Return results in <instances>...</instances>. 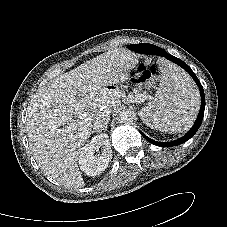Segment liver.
Instances as JSON below:
<instances>
[{"label":"liver","instance_id":"1","mask_svg":"<svg viewBox=\"0 0 227 227\" xmlns=\"http://www.w3.org/2000/svg\"><path fill=\"white\" fill-rule=\"evenodd\" d=\"M136 63L126 49L107 51L35 93L28 107L27 137L34 159L47 176L67 188L85 186L78 167L80 152L96 118L109 116L119 104L106 87L124 81ZM77 107L86 112L85 117H79Z\"/></svg>","mask_w":227,"mask_h":227}]
</instances>
